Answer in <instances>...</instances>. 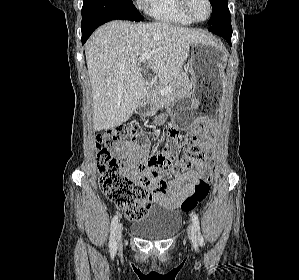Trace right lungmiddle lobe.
<instances>
[{
	"label": "right lung middle lobe",
	"instance_id": "1",
	"mask_svg": "<svg viewBox=\"0 0 299 280\" xmlns=\"http://www.w3.org/2000/svg\"><path fill=\"white\" fill-rule=\"evenodd\" d=\"M118 3H120L123 7H125L127 10H129L137 19L143 20V16L138 12V10L135 8L132 0H116Z\"/></svg>",
	"mask_w": 299,
	"mask_h": 280
}]
</instances>
